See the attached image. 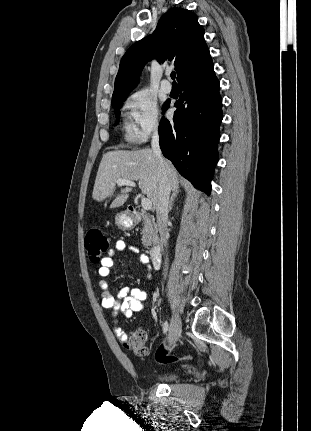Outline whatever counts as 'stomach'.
Instances as JSON below:
<instances>
[{
  "mask_svg": "<svg viewBox=\"0 0 311 431\" xmlns=\"http://www.w3.org/2000/svg\"><path fill=\"white\" fill-rule=\"evenodd\" d=\"M115 223L119 229L123 231H128V229H133L136 225V219L134 216H130L127 212H119L115 216Z\"/></svg>",
  "mask_w": 311,
  "mask_h": 431,
  "instance_id": "1",
  "label": "stomach"
}]
</instances>
